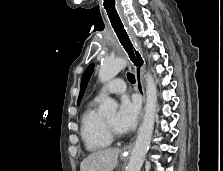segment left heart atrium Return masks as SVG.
Returning <instances> with one entry per match:
<instances>
[{"instance_id": "left-heart-atrium-1", "label": "left heart atrium", "mask_w": 223, "mask_h": 171, "mask_svg": "<svg viewBox=\"0 0 223 171\" xmlns=\"http://www.w3.org/2000/svg\"><path fill=\"white\" fill-rule=\"evenodd\" d=\"M139 104L128 97H123L115 119V127L119 132L132 130L138 120Z\"/></svg>"}]
</instances>
